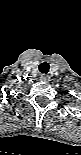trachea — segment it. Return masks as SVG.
I'll use <instances>...</instances> for the list:
<instances>
[{"instance_id": "3493384b", "label": "trachea", "mask_w": 81, "mask_h": 155, "mask_svg": "<svg viewBox=\"0 0 81 155\" xmlns=\"http://www.w3.org/2000/svg\"><path fill=\"white\" fill-rule=\"evenodd\" d=\"M49 64L47 62H42L40 65H39V71L43 74H47L48 71H49Z\"/></svg>"}]
</instances>
